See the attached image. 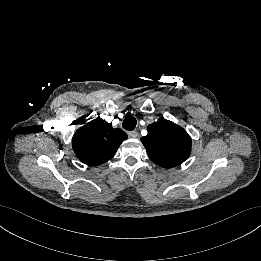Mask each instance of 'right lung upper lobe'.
<instances>
[{
	"label": "right lung upper lobe",
	"mask_w": 261,
	"mask_h": 261,
	"mask_svg": "<svg viewBox=\"0 0 261 261\" xmlns=\"http://www.w3.org/2000/svg\"><path fill=\"white\" fill-rule=\"evenodd\" d=\"M126 139L127 134L121 129H114L105 120L97 118L75 132L72 147L83 163L100 165L110 160Z\"/></svg>",
	"instance_id": "obj_1"
}]
</instances>
